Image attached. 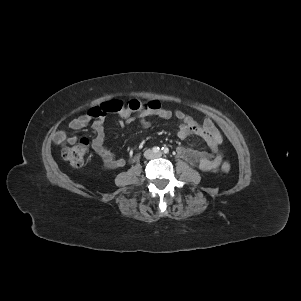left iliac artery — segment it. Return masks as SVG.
I'll list each match as a JSON object with an SVG mask.
<instances>
[{"label": "left iliac artery", "instance_id": "left-iliac-artery-1", "mask_svg": "<svg viewBox=\"0 0 301 301\" xmlns=\"http://www.w3.org/2000/svg\"><path fill=\"white\" fill-rule=\"evenodd\" d=\"M163 153L167 154L169 152V149L167 147H162Z\"/></svg>", "mask_w": 301, "mask_h": 301}]
</instances>
